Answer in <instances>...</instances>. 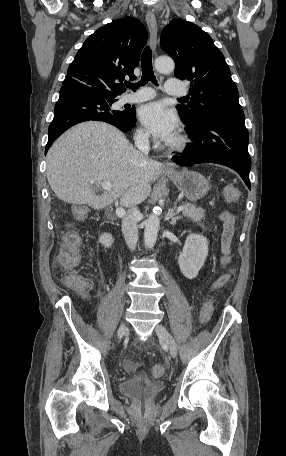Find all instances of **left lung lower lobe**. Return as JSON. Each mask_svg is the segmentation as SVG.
<instances>
[{
  "label": "left lung lower lobe",
  "mask_w": 286,
  "mask_h": 456,
  "mask_svg": "<svg viewBox=\"0 0 286 456\" xmlns=\"http://www.w3.org/2000/svg\"><path fill=\"white\" fill-rule=\"evenodd\" d=\"M187 126V134L193 144L185 148L183 156L173 157L174 162L183 166L206 162L225 165L235 170L251 189V159L244 121L205 116L198 123Z\"/></svg>",
  "instance_id": "obj_1"
}]
</instances>
